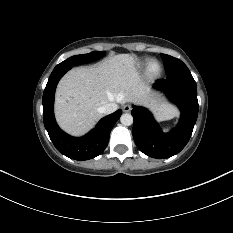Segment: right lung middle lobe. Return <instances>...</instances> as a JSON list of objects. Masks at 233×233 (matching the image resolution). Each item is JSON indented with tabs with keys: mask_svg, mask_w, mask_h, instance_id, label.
<instances>
[{
	"mask_svg": "<svg viewBox=\"0 0 233 233\" xmlns=\"http://www.w3.org/2000/svg\"><path fill=\"white\" fill-rule=\"evenodd\" d=\"M105 55L104 51H93L88 54L75 55L58 64L56 68L72 67L79 64L95 61Z\"/></svg>",
	"mask_w": 233,
	"mask_h": 233,
	"instance_id": "obj_1",
	"label": "right lung middle lobe"
}]
</instances>
